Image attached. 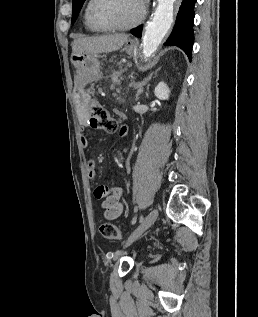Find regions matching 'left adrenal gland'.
I'll use <instances>...</instances> for the list:
<instances>
[{
    "label": "left adrenal gland",
    "mask_w": 258,
    "mask_h": 317,
    "mask_svg": "<svg viewBox=\"0 0 258 317\" xmlns=\"http://www.w3.org/2000/svg\"><path fill=\"white\" fill-rule=\"evenodd\" d=\"M152 74H153V72H151V74H149V76H146V78H144V80H142V82H136V84H135V88H137V92L135 94L136 100H139L140 94H141V92H143V86H144V84H147V82H148V80H150Z\"/></svg>",
    "instance_id": "obj_1"
}]
</instances>
